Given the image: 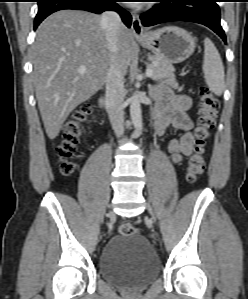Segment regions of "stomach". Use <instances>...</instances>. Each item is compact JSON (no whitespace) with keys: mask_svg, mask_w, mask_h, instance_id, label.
<instances>
[{"mask_svg":"<svg viewBox=\"0 0 248 299\" xmlns=\"http://www.w3.org/2000/svg\"><path fill=\"white\" fill-rule=\"evenodd\" d=\"M138 42L170 63L185 61L195 50V39L188 31L167 26L148 32Z\"/></svg>","mask_w":248,"mask_h":299,"instance_id":"stomach-1","label":"stomach"}]
</instances>
